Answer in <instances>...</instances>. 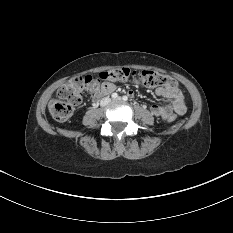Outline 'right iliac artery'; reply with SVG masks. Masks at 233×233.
I'll return each mask as SVG.
<instances>
[{"label":"right iliac artery","instance_id":"82829eb1","mask_svg":"<svg viewBox=\"0 0 233 233\" xmlns=\"http://www.w3.org/2000/svg\"><path fill=\"white\" fill-rule=\"evenodd\" d=\"M117 97H118V94H117V93H113V94H112V98H113V99H116Z\"/></svg>","mask_w":233,"mask_h":233}]
</instances>
